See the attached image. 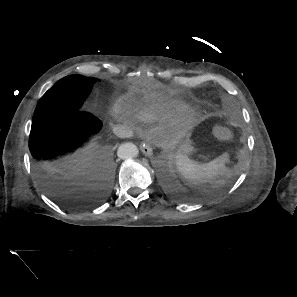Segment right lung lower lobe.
Wrapping results in <instances>:
<instances>
[{"label": "right lung lower lobe", "mask_w": 297, "mask_h": 297, "mask_svg": "<svg viewBox=\"0 0 297 297\" xmlns=\"http://www.w3.org/2000/svg\"><path fill=\"white\" fill-rule=\"evenodd\" d=\"M101 127L102 122L93 114L83 111L80 105L58 108L46 119L32 122L29 149L33 169L48 191H60L64 181L61 173L72 167L73 153L95 136ZM94 159L95 167L109 178L112 162L107 148L98 147Z\"/></svg>", "instance_id": "obj_1"}]
</instances>
